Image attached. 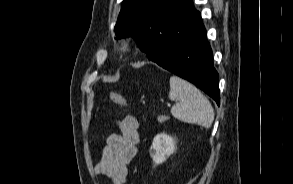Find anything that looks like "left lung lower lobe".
Instances as JSON below:
<instances>
[{"label": "left lung lower lobe", "instance_id": "obj_1", "mask_svg": "<svg viewBox=\"0 0 293 184\" xmlns=\"http://www.w3.org/2000/svg\"><path fill=\"white\" fill-rule=\"evenodd\" d=\"M170 21L165 34L149 48L155 55L148 58L192 82L219 105V77L200 12L192 0H183Z\"/></svg>", "mask_w": 293, "mask_h": 184}]
</instances>
